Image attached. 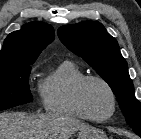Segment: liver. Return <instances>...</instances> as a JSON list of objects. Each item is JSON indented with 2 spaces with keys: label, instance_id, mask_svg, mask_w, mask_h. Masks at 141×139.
<instances>
[{
  "label": "liver",
  "instance_id": "6515ba94",
  "mask_svg": "<svg viewBox=\"0 0 141 139\" xmlns=\"http://www.w3.org/2000/svg\"><path fill=\"white\" fill-rule=\"evenodd\" d=\"M88 127L80 120L62 113L0 114V139H69L75 132Z\"/></svg>",
  "mask_w": 141,
  "mask_h": 139
}]
</instances>
